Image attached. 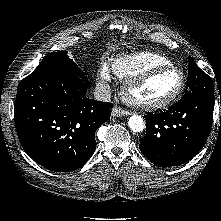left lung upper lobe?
<instances>
[{
  "instance_id": "obj_1",
  "label": "left lung upper lobe",
  "mask_w": 221,
  "mask_h": 221,
  "mask_svg": "<svg viewBox=\"0 0 221 221\" xmlns=\"http://www.w3.org/2000/svg\"><path fill=\"white\" fill-rule=\"evenodd\" d=\"M188 86L190 90L183 96V98L196 93L214 97L212 79L197 66L190 56Z\"/></svg>"
}]
</instances>
